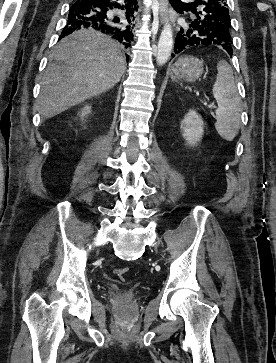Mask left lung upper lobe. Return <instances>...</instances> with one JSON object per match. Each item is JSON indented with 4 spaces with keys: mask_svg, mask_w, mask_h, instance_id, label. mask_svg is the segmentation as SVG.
<instances>
[{
    "mask_svg": "<svg viewBox=\"0 0 276 363\" xmlns=\"http://www.w3.org/2000/svg\"><path fill=\"white\" fill-rule=\"evenodd\" d=\"M194 3L200 4L204 8L200 12V16L196 14L197 19L192 21V24L198 25L200 28L207 25V29L215 35L216 45L221 46L224 43L231 49V22L225 0H196Z\"/></svg>",
    "mask_w": 276,
    "mask_h": 363,
    "instance_id": "obj_1",
    "label": "left lung upper lobe"
}]
</instances>
